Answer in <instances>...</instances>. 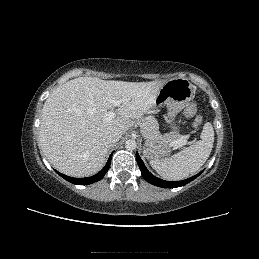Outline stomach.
<instances>
[{
  "mask_svg": "<svg viewBox=\"0 0 259 259\" xmlns=\"http://www.w3.org/2000/svg\"><path fill=\"white\" fill-rule=\"evenodd\" d=\"M194 87L186 78H174L168 80L160 88L156 97L154 107H166L167 114L165 120L178 133L175 124L176 115L184 109L193 97ZM171 151L169 142H151L147 139L144 144V155L150 160H159V158L168 155Z\"/></svg>",
  "mask_w": 259,
  "mask_h": 259,
  "instance_id": "1",
  "label": "stomach"
}]
</instances>
